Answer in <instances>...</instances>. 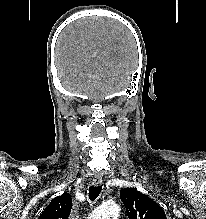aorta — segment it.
Here are the masks:
<instances>
[{"label":"aorta","instance_id":"obj_1","mask_svg":"<svg viewBox=\"0 0 206 219\" xmlns=\"http://www.w3.org/2000/svg\"><path fill=\"white\" fill-rule=\"evenodd\" d=\"M120 208L115 203H106L93 211L90 219H117Z\"/></svg>","mask_w":206,"mask_h":219}]
</instances>
